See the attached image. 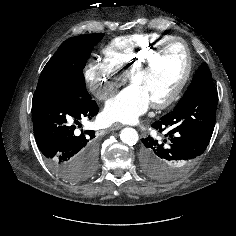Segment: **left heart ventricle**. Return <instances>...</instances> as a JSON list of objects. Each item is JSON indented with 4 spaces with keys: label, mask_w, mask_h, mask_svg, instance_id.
Returning <instances> with one entry per match:
<instances>
[{
    "label": "left heart ventricle",
    "mask_w": 236,
    "mask_h": 236,
    "mask_svg": "<svg viewBox=\"0 0 236 236\" xmlns=\"http://www.w3.org/2000/svg\"><path fill=\"white\" fill-rule=\"evenodd\" d=\"M184 69V49L180 44H173L162 52L148 70L138 75L133 83L145 91L152 103L165 98L174 89Z\"/></svg>",
    "instance_id": "left-heart-ventricle-1"
}]
</instances>
